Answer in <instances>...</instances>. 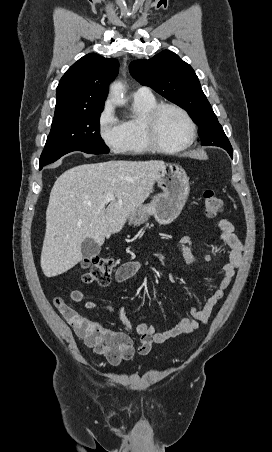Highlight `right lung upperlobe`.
I'll return each instance as SVG.
<instances>
[{
    "label": "right lung upper lobe",
    "instance_id": "1",
    "mask_svg": "<svg viewBox=\"0 0 272 452\" xmlns=\"http://www.w3.org/2000/svg\"><path fill=\"white\" fill-rule=\"evenodd\" d=\"M115 58L87 54L74 63L57 86L55 116L103 108L108 85L118 73Z\"/></svg>",
    "mask_w": 272,
    "mask_h": 452
}]
</instances>
